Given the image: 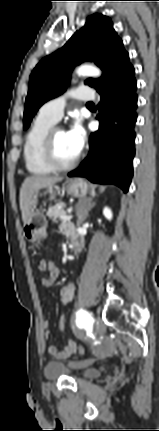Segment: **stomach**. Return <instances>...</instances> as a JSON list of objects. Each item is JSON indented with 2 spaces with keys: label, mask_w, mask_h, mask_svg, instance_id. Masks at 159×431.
<instances>
[{
  "label": "stomach",
  "mask_w": 159,
  "mask_h": 431,
  "mask_svg": "<svg viewBox=\"0 0 159 431\" xmlns=\"http://www.w3.org/2000/svg\"><path fill=\"white\" fill-rule=\"evenodd\" d=\"M63 189L74 197L83 198L87 195L89 186L82 179H73L68 180L63 185ZM59 190V186L52 185L48 187L51 199L55 197V191ZM37 204L38 192H34L30 200V214L27 222L24 224L23 234L28 241L39 244L47 236V220L43 212L37 209Z\"/></svg>",
  "instance_id": "1"
}]
</instances>
